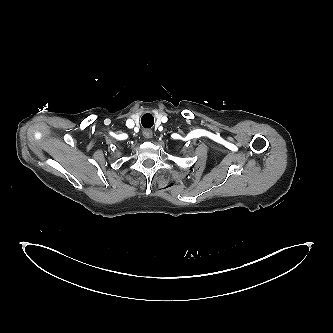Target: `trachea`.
I'll use <instances>...</instances> for the list:
<instances>
[{"instance_id":"trachea-1","label":"trachea","mask_w":333,"mask_h":333,"mask_svg":"<svg viewBox=\"0 0 333 333\" xmlns=\"http://www.w3.org/2000/svg\"><path fill=\"white\" fill-rule=\"evenodd\" d=\"M141 123L144 128H151L154 124V117L150 113H146L142 116Z\"/></svg>"}]
</instances>
